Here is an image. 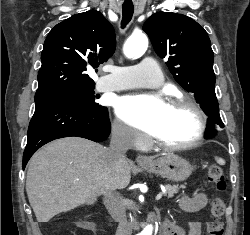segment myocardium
I'll list each match as a JSON object with an SVG mask.
<instances>
[{"label":"myocardium","mask_w":250,"mask_h":235,"mask_svg":"<svg viewBox=\"0 0 250 235\" xmlns=\"http://www.w3.org/2000/svg\"><path fill=\"white\" fill-rule=\"evenodd\" d=\"M169 107L177 108V107H186L193 111V113L197 117L198 128L195 136L188 142L178 143V144H170L165 143L159 140L157 137L152 136L151 139L155 145L165 151H180L187 150L193 148L201 143L204 139L206 129H207V119L204 110L201 106L192 98L189 97H177L171 100L168 105Z\"/></svg>","instance_id":"1"}]
</instances>
